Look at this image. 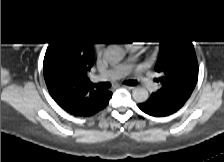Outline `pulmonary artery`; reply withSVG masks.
I'll return each instance as SVG.
<instances>
[{"instance_id":"obj_1","label":"pulmonary artery","mask_w":224,"mask_h":162,"mask_svg":"<svg viewBox=\"0 0 224 162\" xmlns=\"http://www.w3.org/2000/svg\"><path fill=\"white\" fill-rule=\"evenodd\" d=\"M130 69L124 66H120L117 68H112L107 70L106 72L98 75L95 80L101 81H114L123 78L128 74ZM134 78L141 82L146 88L151 89L154 86V83L149 79V77L143 73L135 74Z\"/></svg>"}]
</instances>
